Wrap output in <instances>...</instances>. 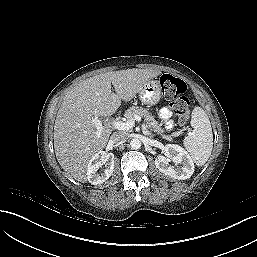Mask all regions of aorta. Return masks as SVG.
Segmentation results:
<instances>
[{
    "mask_svg": "<svg viewBox=\"0 0 257 257\" xmlns=\"http://www.w3.org/2000/svg\"><path fill=\"white\" fill-rule=\"evenodd\" d=\"M130 146H131L132 149L137 150L141 147V141L138 138H133L130 141Z\"/></svg>",
    "mask_w": 257,
    "mask_h": 257,
    "instance_id": "obj_1",
    "label": "aorta"
}]
</instances>
